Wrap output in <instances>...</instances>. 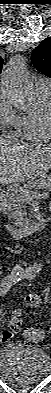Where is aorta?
<instances>
[{
    "label": "aorta",
    "instance_id": "obj_1",
    "mask_svg": "<svg viewBox=\"0 0 51 393\" xmlns=\"http://www.w3.org/2000/svg\"><path fill=\"white\" fill-rule=\"evenodd\" d=\"M24 73L25 59L15 55L3 71L2 90L15 108L29 112L36 109L37 103L34 87Z\"/></svg>",
    "mask_w": 51,
    "mask_h": 393
}]
</instances>
